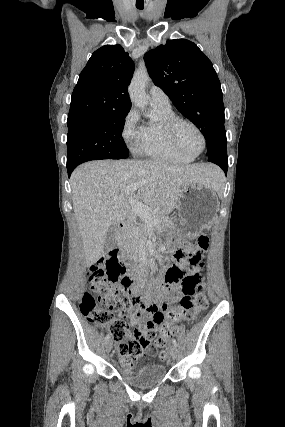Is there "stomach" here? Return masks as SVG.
Listing matches in <instances>:
<instances>
[{
    "instance_id": "obj_1",
    "label": "stomach",
    "mask_w": 285,
    "mask_h": 427,
    "mask_svg": "<svg viewBox=\"0 0 285 427\" xmlns=\"http://www.w3.org/2000/svg\"><path fill=\"white\" fill-rule=\"evenodd\" d=\"M177 210L178 217L171 229L182 235L196 236L217 216V191L204 183H191L183 188Z\"/></svg>"
}]
</instances>
